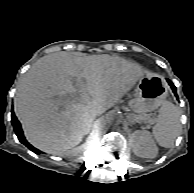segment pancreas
I'll use <instances>...</instances> for the list:
<instances>
[{"instance_id": "pancreas-1", "label": "pancreas", "mask_w": 194, "mask_h": 193, "mask_svg": "<svg viewBox=\"0 0 194 193\" xmlns=\"http://www.w3.org/2000/svg\"><path fill=\"white\" fill-rule=\"evenodd\" d=\"M132 118L139 123L144 122V123H148L150 125L154 124L156 121L149 114H146V113H138V114H136L135 118L133 116H132Z\"/></svg>"}]
</instances>
